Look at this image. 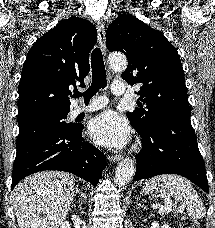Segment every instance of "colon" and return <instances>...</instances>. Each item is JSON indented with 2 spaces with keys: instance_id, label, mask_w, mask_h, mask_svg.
Returning a JSON list of instances; mask_svg holds the SVG:
<instances>
[{
  "instance_id": "1",
  "label": "colon",
  "mask_w": 215,
  "mask_h": 228,
  "mask_svg": "<svg viewBox=\"0 0 215 228\" xmlns=\"http://www.w3.org/2000/svg\"><path fill=\"white\" fill-rule=\"evenodd\" d=\"M180 228H198V223L188 216H184L179 222Z\"/></svg>"
}]
</instances>
